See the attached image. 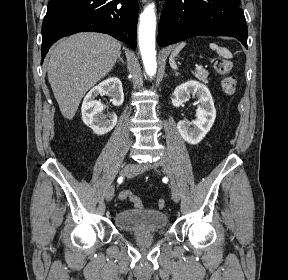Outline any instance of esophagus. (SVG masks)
Here are the masks:
<instances>
[{"label": "esophagus", "instance_id": "1", "mask_svg": "<svg viewBox=\"0 0 288 280\" xmlns=\"http://www.w3.org/2000/svg\"><path fill=\"white\" fill-rule=\"evenodd\" d=\"M147 0H142V2H146Z\"/></svg>", "mask_w": 288, "mask_h": 280}]
</instances>
